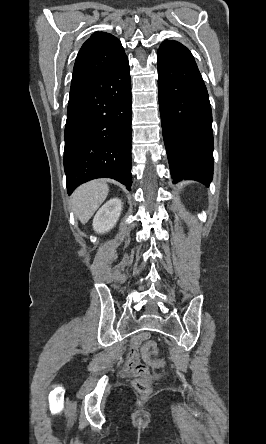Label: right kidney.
I'll list each match as a JSON object with an SVG mask.
<instances>
[{"label":"right kidney","mask_w":266,"mask_h":444,"mask_svg":"<svg viewBox=\"0 0 266 444\" xmlns=\"http://www.w3.org/2000/svg\"><path fill=\"white\" fill-rule=\"evenodd\" d=\"M122 210V202L118 198L110 199L96 213L93 219V229L97 233H105L112 229Z\"/></svg>","instance_id":"1"}]
</instances>
